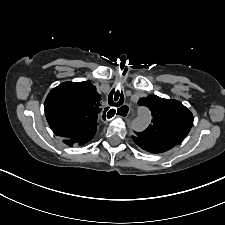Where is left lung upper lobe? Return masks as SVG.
<instances>
[{
    "label": "left lung upper lobe",
    "mask_w": 225,
    "mask_h": 225,
    "mask_svg": "<svg viewBox=\"0 0 225 225\" xmlns=\"http://www.w3.org/2000/svg\"><path fill=\"white\" fill-rule=\"evenodd\" d=\"M139 105L147 106L152 112V122L136 137L162 144H180L193 125L192 113L179 101L163 99L156 95L141 98Z\"/></svg>",
    "instance_id": "left-lung-upper-lobe-1"
}]
</instances>
